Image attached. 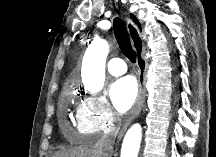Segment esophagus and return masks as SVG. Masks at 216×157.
<instances>
[{"label":"esophagus","instance_id":"1","mask_svg":"<svg viewBox=\"0 0 216 157\" xmlns=\"http://www.w3.org/2000/svg\"><path fill=\"white\" fill-rule=\"evenodd\" d=\"M127 28H128V32L130 34L132 43L134 45V48L137 52V64L139 67V73L141 75V82L139 83V91H138V95L136 98V101L131 109V113L130 116L128 117V119L126 120V122L124 123L119 135H118V140H120L125 131L127 130L128 126L130 125V123L135 119V117L139 114V112L141 111V108L143 106L144 100H145V87H144V82H145V77H146V66L144 65V63L141 61V59L143 60L142 57V51L144 49V46H142L141 52L138 51L136 49V45L134 43V31H136L138 33L137 27L135 26V24L130 20L127 19ZM144 61V60H143Z\"/></svg>","mask_w":216,"mask_h":157}]
</instances>
